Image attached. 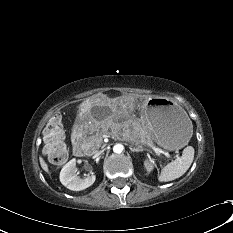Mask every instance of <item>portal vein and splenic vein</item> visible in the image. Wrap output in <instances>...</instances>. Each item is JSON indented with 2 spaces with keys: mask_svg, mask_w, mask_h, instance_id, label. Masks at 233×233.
I'll return each mask as SVG.
<instances>
[{
  "mask_svg": "<svg viewBox=\"0 0 233 233\" xmlns=\"http://www.w3.org/2000/svg\"><path fill=\"white\" fill-rule=\"evenodd\" d=\"M151 148L155 151V153L157 154H163L164 156H166L167 158H172L171 155L167 152L162 150L161 148L155 147V146H151ZM179 157L177 156L176 159H178Z\"/></svg>",
  "mask_w": 233,
  "mask_h": 233,
  "instance_id": "obj_1",
  "label": "portal vein and splenic vein"
}]
</instances>
